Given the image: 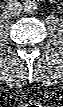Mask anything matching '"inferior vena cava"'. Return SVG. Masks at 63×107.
Wrapping results in <instances>:
<instances>
[{"label": "inferior vena cava", "mask_w": 63, "mask_h": 107, "mask_svg": "<svg viewBox=\"0 0 63 107\" xmlns=\"http://www.w3.org/2000/svg\"><path fill=\"white\" fill-rule=\"evenodd\" d=\"M5 13L9 16H17L20 14L22 10V5L20 2L14 0L7 2L6 6L4 7Z\"/></svg>", "instance_id": "1"}]
</instances>
